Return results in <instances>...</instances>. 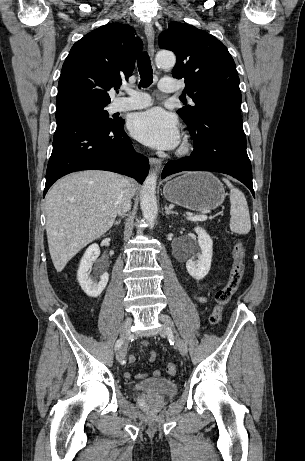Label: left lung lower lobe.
<instances>
[{"label":"left lung lower lobe","mask_w":305,"mask_h":461,"mask_svg":"<svg viewBox=\"0 0 305 461\" xmlns=\"http://www.w3.org/2000/svg\"><path fill=\"white\" fill-rule=\"evenodd\" d=\"M194 151L184 159L168 162L161 177L180 171H215L244 183L254 196L251 163L239 106L213 107L187 124Z\"/></svg>","instance_id":"left-lung-lower-lobe-1"}]
</instances>
